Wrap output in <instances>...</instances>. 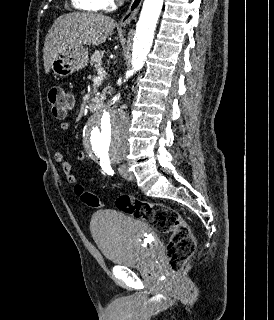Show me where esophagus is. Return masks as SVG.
Instances as JSON below:
<instances>
[{
    "label": "esophagus",
    "mask_w": 274,
    "mask_h": 320,
    "mask_svg": "<svg viewBox=\"0 0 274 320\" xmlns=\"http://www.w3.org/2000/svg\"><path fill=\"white\" fill-rule=\"evenodd\" d=\"M143 0H132L126 13L120 19V25H128L136 17Z\"/></svg>",
    "instance_id": "1"
}]
</instances>
